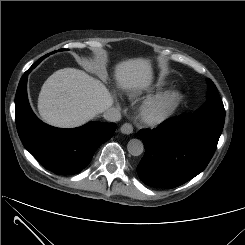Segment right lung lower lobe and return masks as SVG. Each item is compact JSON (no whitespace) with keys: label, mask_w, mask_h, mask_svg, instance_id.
I'll return each mask as SVG.
<instances>
[{"label":"right lung lower lobe","mask_w":245,"mask_h":245,"mask_svg":"<svg viewBox=\"0 0 245 245\" xmlns=\"http://www.w3.org/2000/svg\"><path fill=\"white\" fill-rule=\"evenodd\" d=\"M21 78L16 96L15 113L19 137L24 147L48 170L70 175L82 171L97 148L110 139L115 123L90 122L73 129L49 126L33 113L27 97V77Z\"/></svg>","instance_id":"obj_1"}]
</instances>
